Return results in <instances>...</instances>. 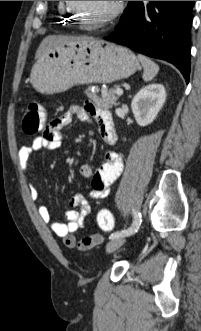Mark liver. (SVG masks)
Returning a JSON list of instances; mask_svg holds the SVG:
<instances>
[{
	"label": "liver",
	"instance_id": "1",
	"mask_svg": "<svg viewBox=\"0 0 201 331\" xmlns=\"http://www.w3.org/2000/svg\"><path fill=\"white\" fill-rule=\"evenodd\" d=\"M87 39V37H73V36H62V35H49L45 37L42 42L40 43L37 51H36V58H39L44 52L52 48L53 46L68 42V41H75Z\"/></svg>",
	"mask_w": 201,
	"mask_h": 331
}]
</instances>
